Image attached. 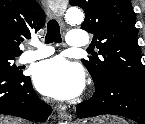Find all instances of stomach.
<instances>
[{
  "label": "stomach",
  "instance_id": "stomach-1",
  "mask_svg": "<svg viewBox=\"0 0 145 124\" xmlns=\"http://www.w3.org/2000/svg\"><path fill=\"white\" fill-rule=\"evenodd\" d=\"M81 124H125V121L118 117L106 116L92 119L89 122H83Z\"/></svg>",
  "mask_w": 145,
  "mask_h": 124
}]
</instances>
